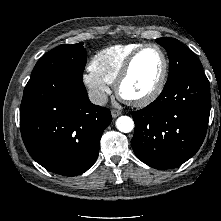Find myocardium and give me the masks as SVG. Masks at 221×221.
<instances>
[{
    "mask_svg": "<svg viewBox=\"0 0 221 221\" xmlns=\"http://www.w3.org/2000/svg\"><path fill=\"white\" fill-rule=\"evenodd\" d=\"M156 48L162 57V70L159 76V79L155 85V87L145 96L140 97V98H128L126 97L123 92H122V86L123 83L126 81V79L129 77L132 67L134 65L135 60L137 59V57L147 48ZM168 67H169V63H168V58L167 55L165 53V51L163 50V48L155 43H146L141 45L140 47H138L137 49H135L127 58L126 62L124 63L116 81H115V90L116 93L118 95L119 98H121L123 101L134 105V106H138V107H142V106H147L150 103H152L153 101H155L160 94L162 93L165 84H166V80H167V76H168Z\"/></svg>",
    "mask_w": 221,
    "mask_h": 221,
    "instance_id": "1",
    "label": "myocardium"
}]
</instances>
